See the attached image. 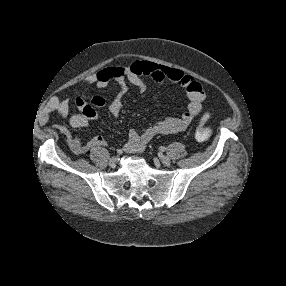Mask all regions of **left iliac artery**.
I'll use <instances>...</instances> for the list:
<instances>
[{
	"label": "left iliac artery",
	"instance_id": "left-iliac-artery-1",
	"mask_svg": "<svg viewBox=\"0 0 286 286\" xmlns=\"http://www.w3.org/2000/svg\"><path fill=\"white\" fill-rule=\"evenodd\" d=\"M160 150L164 152V151L166 150V148L163 147V146H161V147H160Z\"/></svg>",
	"mask_w": 286,
	"mask_h": 286
}]
</instances>
